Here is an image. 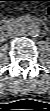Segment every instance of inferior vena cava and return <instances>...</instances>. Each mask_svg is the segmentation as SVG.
I'll list each match as a JSON object with an SVG mask.
<instances>
[{
	"label": "inferior vena cava",
	"mask_w": 50,
	"mask_h": 111,
	"mask_svg": "<svg viewBox=\"0 0 50 111\" xmlns=\"http://www.w3.org/2000/svg\"><path fill=\"white\" fill-rule=\"evenodd\" d=\"M24 34L23 30H17L12 33V36H22Z\"/></svg>",
	"instance_id": "1"
}]
</instances>
